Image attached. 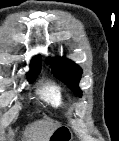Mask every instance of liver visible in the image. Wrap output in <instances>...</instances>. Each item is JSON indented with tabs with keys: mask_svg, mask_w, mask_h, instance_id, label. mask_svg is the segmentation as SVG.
Here are the masks:
<instances>
[{
	"mask_svg": "<svg viewBox=\"0 0 119 141\" xmlns=\"http://www.w3.org/2000/svg\"><path fill=\"white\" fill-rule=\"evenodd\" d=\"M59 126L60 124L54 121L38 120L32 124L31 129L36 135L37 141H48L50 135Z\"/></svg>",
	"mask_w": 119,
	"mask_h": 141,
	"instance_id": "1",
	"label": "liver"
}]
</instances>
